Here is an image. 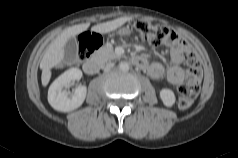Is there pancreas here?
<instances>
[{"label": "pancreas", "instance_id": "cf45deb5", "mask_svg": "<svg viewBox=\"0 0 238 158\" xmlns=\"http://www.w3.org/2000/svg\"><path fill=\"white\" fill-rule=\"evenodd\" d=\"M118 57L119 56L114 52L113 48L108 45L101 47L99 50H97L93 54V58H95L96 60L100 62H105V61L112 60Z\"/></svg>", "mask_w": 238, "mask_h": 158}]
</instances>
